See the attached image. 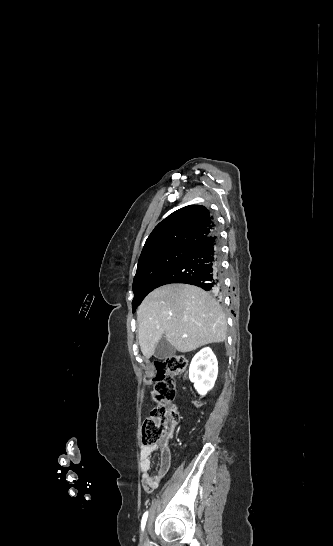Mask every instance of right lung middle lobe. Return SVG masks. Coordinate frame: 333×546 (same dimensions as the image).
<instances>
[{"label": "right lung middle lobe", "mask_w": 333, "mask_h": 546, "mask_svg": "<svg viewBox=\"0 0 333 546\" xmlns=\"http://www.w3.org/2000/svg\"><path fill=\"white\" fill-rule=\"evenodd\" d=\"M192 247H171L138 262L137 272L133 282V311L144 297L156 288L158 281L175 266Z\"/></svg>", "instance_id": "right-lung-middle-lobe-1"}]
</instances>
